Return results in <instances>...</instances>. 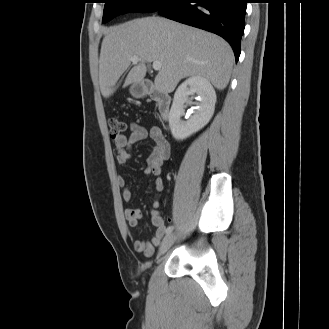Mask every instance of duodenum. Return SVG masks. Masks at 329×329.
<instances>
[{"instance_id":"1","label":"duodenum","mask_w":329,"mask_h":329,"mask_svg":"<svg viewBox=\"0 0 329 329\" xmlns=\"http://www.w3.org/2000/svg\"><path fill=\"white\" fill-rule=\"evenodd\" d=\"M141 91L156 102V110L159 117L162 120H167L170 114V96L164 91L159 90L151 81H144L141 86Z\"/></svg>"}]
</instances>
